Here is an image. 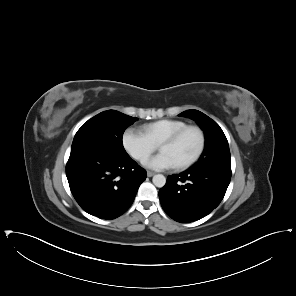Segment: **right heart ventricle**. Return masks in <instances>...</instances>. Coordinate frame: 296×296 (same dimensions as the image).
Returning a JSON list of instances; mask_svg holds the SVG:
<instances>
[{"mask_svg":"<svg viewBox=\"0 0 296 296\" xmlns=\"http://www.w3.org/2000/svg\"><path fill=\"white\" fill-rule=\"evenodd\" d=\"M188 125L178 120H160L145 128L146 135L157 146H162L174 134Z\"/></svg>","mask_w":296,"mask_h":296,"instance_id":"obj_1","label":"right heart ventricle"}]
</instances>
